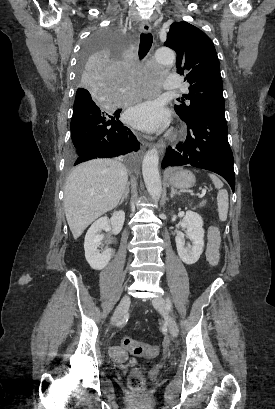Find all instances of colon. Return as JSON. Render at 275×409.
<instances>
[{
    "mask_svg": "<svg viewBox=\"0 0 275 409\" xmlns=\"http://www.w3.org/2000/svg\"><path fill=\"white\" fill-rule=\"evenodd\" d=\"M122 346L128 350L129 353H134L136 358H156L159 344L157 342H146L145 340H129L125 338L122 340ZM128 383L133 388H143L146 384L144 376L136 371H133L128 378Z\"/></svg>",
    "mask_w": 275,
    "mask_h": 409,
    "instance_id": "1",
    "label": "colon"
}]
</instances>
